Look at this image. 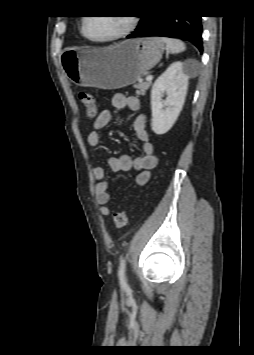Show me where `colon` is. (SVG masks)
I'll list each match as a JSON object with an SVG mask.
<instances>
[{
  "label": "colon",
  "mask_w": 254,
  "mask_h": 355,
  "mask_svg": "<svg viewBox=\"0 0 254 355\" xmlns=\"http://www.w3.org/2000/svg\"><path fill=\"white\" fill-rule=\"evenodd\" d=\"M79 99L87 115L93 118L97 114V104L94 97L86 92L79 94ZM113 221L117 228H124L128 224V211L123 210L113 215Z\"/></svg>",
  "instance_id": "5ec220e1"
}]
</instances>
